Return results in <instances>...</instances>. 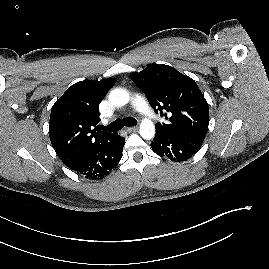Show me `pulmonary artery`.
Wrapping results in <instances>:
<instances>
[{"label":"pulmonary artery","mask_w":269,"mask_h":269,"mask_svg":"<svg viewBox=\"0 0 269 269\" xmlns=\"http://www.w3.org/2000/svg\"><path fill=\"white\" fill-rule=\"evenodd\" d=\"M132 105L133 107L142 115L152 118L153 113L147 103V101L141 95L136 94L132 98Z\"/></svg>","instance_id":"pulmonary-artery-1"}]
</instances>
